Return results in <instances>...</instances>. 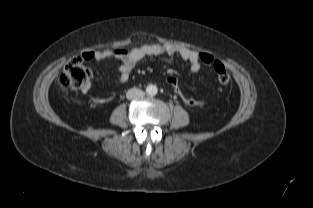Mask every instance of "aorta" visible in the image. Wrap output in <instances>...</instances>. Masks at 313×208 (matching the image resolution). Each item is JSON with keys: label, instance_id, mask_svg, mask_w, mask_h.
<instances>
[{"label": "aorta", "instance_id": "obj_1", "mask_svg": "<svg viewBox=\"0 0 313 208\" xmlns=\"http://www.w3.org/2000/svg\"><path fill=\"white\" fill-rule=\"evenodd\" d=\"M146 92H147L148 95L154 96V95L157 94L158 88L155 85H148L147 89H146Z\"/></svg>", "mask_w": 313, "mask_h": 208}]
</instances>
